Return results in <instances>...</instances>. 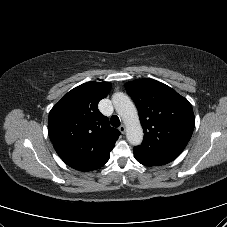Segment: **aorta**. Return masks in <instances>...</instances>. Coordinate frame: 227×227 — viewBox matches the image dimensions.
Masks as SVG:
<instances>
[{
	"label": "aorta",
	"instance_id": "aorta-1",
	"mask_svg": "<svg viewBox=\"0 0 227 227\" xmlns=\"http://www.w3.org/2000/svg\"><path fill=\"white\" fill-rule=\"evenodd\" d=\"M112 101L116 112L126 125V138L132 145H139L143 140V129L141 127L138 112L130 98L124 93H115Z\"/></svg>",
	"mask_w": 227,
	"mask_h": 227
}]
</instances>
